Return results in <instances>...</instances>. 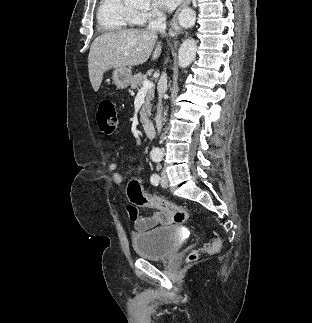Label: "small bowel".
I'll use <instances>...</instances> for the list:
<instances>
[{
  "label": "small bowel",
  "instance_id": "1",
  "mask_svg": "<svg viewBox=\"0 0 312 323\" xmlns=\"http://www.w3.org/2000/svg\"><path fill=\"white\" fill-rule=\"evenodd\" d=\"M124 142V139H120L115 142V145H119ZM118 163L113 161L109 164V170L113 173V181L116 184L123 183V176L118 172ZM130 170L140 171L142 170V166L133 165L129 167ZM131 222L134 225V228L137 231H147L153 227L159 225H169L171 224V217L161 211H155L148 215L137 214V216H129Z\"/></svg>",
  "mask_w": 312,
  "mask_h": 323
}]
</instances>
